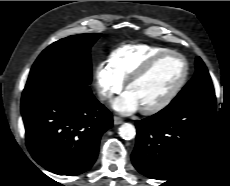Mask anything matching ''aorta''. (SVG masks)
<instances>
[{
	"instance_id": "obj_1",
	"label": "aorta",
	"mask_w": 230,
	"mask_h": 186,
	"mask_svg": "<svg viewBox=\"0 0 230 186\" xmlns=\"http://www.w3.org/2000/svg\"><path fill=\"white\" fill-rule=\"evenodd\" d=\"M119 135L125 140H131L136 135V129L132 124L124 123L119 128Z\"/></svg>"
}]
</instances>
